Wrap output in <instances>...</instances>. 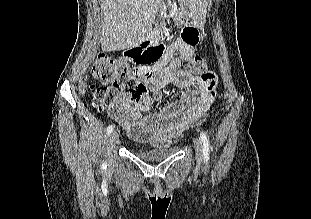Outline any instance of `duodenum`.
I'll list each match as a JSON object with an SVG mask.
<instances>
[{"label": "duodenum", "instance_id": "duodenum-1", "mask_svg": "<svg viewBox=\"0 0 311 219\" xmlns=\"http://www.w3.org/2000/svg\"><path fill=\"white\" fill-rule=\"evenodd\" d=\"M158 40V34L156 32H153L149 35V37L145 40V42L139 46V48L135 49L138 50V53L142 52L143 50H150L151 45H156L157 48H160L161 45L157 43Z\"/></svg>", "mask_w": 311, "mask_h": 219}]
</instances>
